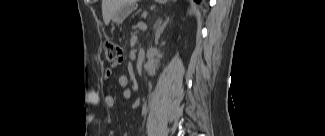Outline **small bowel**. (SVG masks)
Instances as JSON below:
<instances>
[{"instance_id":"1","label":"small bowel","mask_w":325,"mask_h":136,"mask_svg":"<svg viewBox=\"0 0 325 136\" xmlns=\"http://www.w3.org/2000/svg\"><path fill=\"white\" fill-rule=\"evenodd\" d=\"M120 65L119 62H114L111 68H108L104 72V79L110 80L113 76V68H116ZM118 85L122 88V96L124 99L129 100L132 97V91L128 88L129 78L127 75H120L118 77ZM105 104L107 107L112 108L116 104V99L113 95L107 94L104 98ZM140 105V100H135L132 104L133 108H138Z\"/></svg>"}]
</instances>
